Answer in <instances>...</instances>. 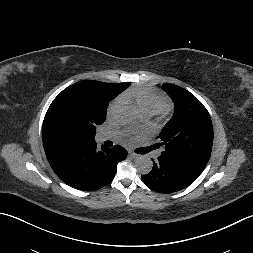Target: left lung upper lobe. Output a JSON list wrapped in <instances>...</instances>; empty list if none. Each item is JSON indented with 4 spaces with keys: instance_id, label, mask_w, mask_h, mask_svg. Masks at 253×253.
<instances>
[{
    "instance_id": "5c2ea615",
    "label": "left lung upper lobe",
    "mask_w": 253,
    "mask_h": 253,
    "mask_svg": "<svg viewBox=\"0 0 253 253\" xmlns=\"http://www.w3.org/2000/svg\"><path fill=\"white\" fill-rule=\"evenodd\" d=\"M162 87L175 102L176 110L159 135L162 145H165L161 155L203 170L213 143L210 115L203 104L184 88L173 84H163Z\"/></svg>"
}]
</instances>
